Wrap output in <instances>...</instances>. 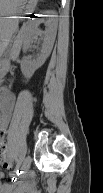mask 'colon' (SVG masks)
Wrapping results in <instances>:
<instances>
[{
	"instance_id": "colon-1",
	"label": "colon",
	"mask_w": 103,
	"mask_h": 193,
	"mask_svg": "<svg viewBox=\"0 0 103 193\" xmlns=\"http://www.w3.org/2000/svg\"><path fill=\"white\" fill-rule=\"evenodd\" d=\"M1 159H2V164L4 167L6 168H9L11 167V164L8 160V155H7V152H6V145L4 142L1 143Z\"/></svg>"
}]
</instances>
